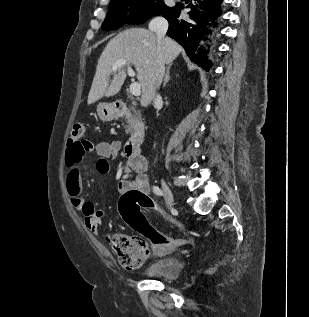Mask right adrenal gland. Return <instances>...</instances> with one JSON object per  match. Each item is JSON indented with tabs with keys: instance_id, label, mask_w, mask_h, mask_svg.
I'll use <instances>...</instances> for the list:
<instances>
[{
	"instance_id": "1",
	"label": "right adrenal gland",
	"mask_w": 309,
	"mask_h": 317,
	"mask_svg": "<svg viewBox=\"0 0 309 317\" xmlns=\"http://www.w3.org/2000/svg\"><path fill=\"white\" fill-rule=\"evenodd\" d=\"M169 80H170V66L167 68L165 78H164L163 87L166 86V84L168 83Z\"/></svg>"
}]
</instances>
